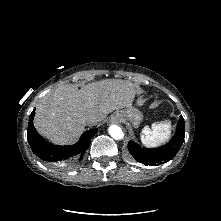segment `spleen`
<instances>
[{"mask_svg":"<svg viewBox=\"0 0 221 221\" xmlns=\"http://www.w3.org/2000/svg\"><path fill=\"white\" fill-rule=\"evenodd\" d=\"M170 122L154 123L151 128L145 126L142 130L141 142L147 147H156L168 139Z\"/></svg>","mask_w":221,"mask_h":221,"instance_id":"1","label":"spleen"}]
</instances>
